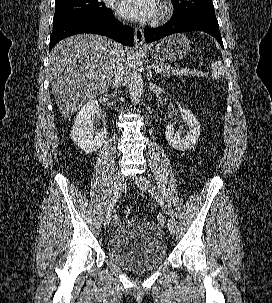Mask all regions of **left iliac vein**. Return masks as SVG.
Returning <instances> with one entry per match:
<instances>
[{"label": "left iliac vein", "mask_w": 272, "mask_h": 303, "mask_svg": "<svg viewBox=\"0 0 272 303\" xmlns=\"http://www.w3.org/2000/svg\"><path fill=\"white\" fill-rule=\"evenodd\" d=\"M135 183L136 185L140 188V190H142L145 193H151V185L149 180L142 174H139L137 176L134 177ZM168 230L171 234H174V225H168Z\"/></svg>", "instance_id": "obj_1"}]
</instances>
